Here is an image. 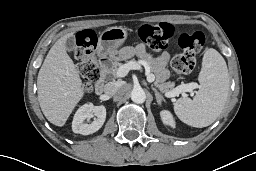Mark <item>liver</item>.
<instances>
[{"label":"liver","mask_w":256,"mask_h":171,"mask_svg":"<svg viewBox=\"0 0 256 171\" xmlns=\"http://www.w3.org/2000/svg\"><path fill=\"white\" fill-rule=\"evenodd\" d=\"M73 32L64 35L48 52L37 78L38 101L44 116L62 127L84 96L78 71L68 56L65 42Z\"/></svg>","instance_id":"obj_1"}]
</instances>
